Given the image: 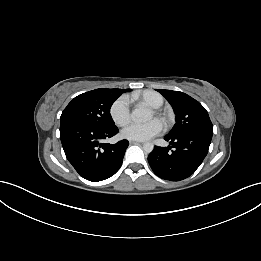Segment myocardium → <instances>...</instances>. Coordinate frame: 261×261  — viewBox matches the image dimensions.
I'll use <instances>...</instances> for the list:
<instances>
[{
	"mask_svg": "<svg viewBox=\"0 0 261 261\" xmlns=\"http://www.w3.org/2000/svg\"><path fill=\"white\" fill-rule=\"evenodd\" d=\"M155 113H156L157 115L161 116L164 121H167V116H166L165 113H162V112H160V111H158V110H155Z\"/></svg>",
	"mask_w": 261,
	"mask_h": 261,
	"instance_id": "myocardium-1",
	"label": "myocardium"
}]
</instances>
